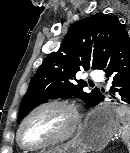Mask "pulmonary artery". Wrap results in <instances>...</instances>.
<instances>
[{
  "label": "pulmonary artery",
  "instance_id": "obj_1",
  "mask_svg": "<svg viewBox=\"0 0 130 153\" xmlns=\"http://www.w3.org/2000/svg\"><path fill=\"white\" fill-rule=\"evenodd\" d=\"M91 79L93 81H96V82H102L103 81V75L100 71H93L91 73Z\"/></svg>",
  "mask_w": 130,
  "mask_h": 153
}]
</instances>
